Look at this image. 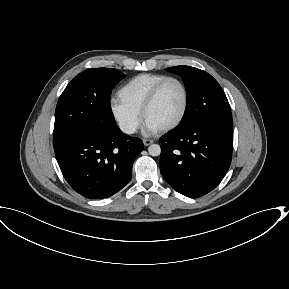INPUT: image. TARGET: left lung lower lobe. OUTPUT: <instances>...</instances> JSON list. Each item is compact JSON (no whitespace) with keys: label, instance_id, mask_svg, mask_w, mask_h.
Segmentation results:
<instances>
[{"label":"left lung lower lobe","instance_id":"left-lung-lower-lobe-1","mask_svg":"<svg viewBox=\"0 0 289 289\" xmlns=\"http://www.w3.org/2000/svg\"><path fill=\"white\" fill-rule=\"evenodd\" d=\"M160 141L161 174L177 192L187 197L209 193L229 169L233 145L231 127L194 123L175 128Z\"/></svg>","mask_w":289,"mask_h":289}]
</instances>
